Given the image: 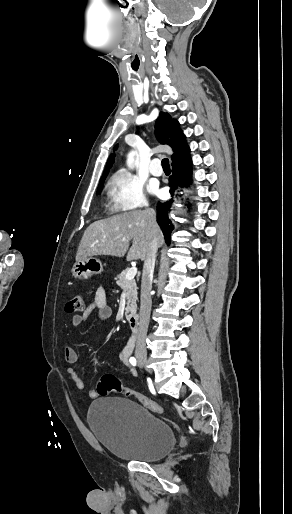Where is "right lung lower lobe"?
<instances>
[{"label":"right lung lower lobe","mask_w":292,"mask_h":514,"mask_svg":"<svg viewBox=\"0 0 292 514\" xmlns=\"http://www.w3.org/2000/svg\"><path fill=\"white\" fill-rule=\"evenodd\" d=\"M192 177V161L190 154L172 163V176L169 178V186L171 187L170 193L173 195L178 187H187L191 182ZM173 200L157 204V222L160 225L165 241L170 243V235L173 230V225L168 218V213L171 210Z\"/></svg>","instance_id":"1"}]
</instances>
